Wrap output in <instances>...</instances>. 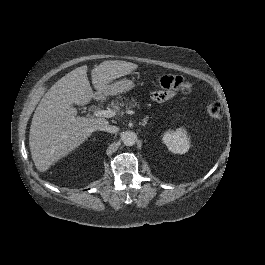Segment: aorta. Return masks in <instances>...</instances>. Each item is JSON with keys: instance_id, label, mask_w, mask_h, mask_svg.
I'll return each mask as SVG.
<instances>
[{"instance_id": "aorta-1", "label": "aorta", "mask_w": 265, "mask_h": 265, "mask_svg": "<svg viewBox=\"0 0 265 265\" xmlns=\"http://www.w3.org/2000/svg\"><path fill=\"white\" fill-rule=\"evenodd\" d=\"M122 141L125 145L131 146L136 143L137 135L133 131H126L122 134Z\"/></svg>"}]
</instances>
